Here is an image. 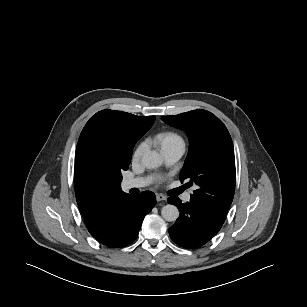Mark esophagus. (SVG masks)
<instances>
[{"instance_id": "34e87169", "label": "esophagus", "mask_w": 307, "mask_h": 307, "mask_svg": "<svg viewBox=\"0 0 307 307\" xmlns=\"http://www.w3.org/2000/svg\"><path fill=\"white\" fill-rule=\"evenodd\" d=\"M156 200L159 201H165L166 200V196H164L163 194H156Z\"/></svg>"}]
</instances>
